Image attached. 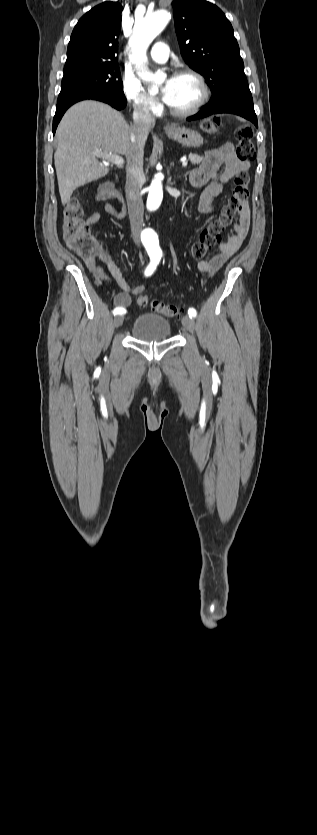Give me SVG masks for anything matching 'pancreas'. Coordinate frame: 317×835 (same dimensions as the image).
<instances>
[{
  "mask_svg": "<svg viewBox=\"0 0 317 835\" xmlns=\"http://www.w3.org/2000/svg\"><path fill=\"white\" fill-rule=\"evenodd\" d=\"M188 158L192 164H199L202 161L201 156L198 154L190 153Z\"/></svg>",
  "mask_w": 317,
  "mask_h": 835,
  "instance_id": "1",
  "label": "pancreas"
}]
</instances>
